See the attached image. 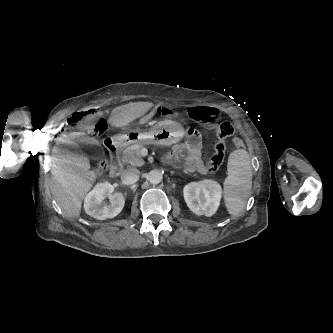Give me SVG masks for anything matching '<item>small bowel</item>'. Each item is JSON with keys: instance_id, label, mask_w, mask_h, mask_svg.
Masks as SVG:
<instances>
[{"instance_id": "c3829d8e", "label": "small bowel", "mask_w": 333, "mask_h": 333, "mask_svg": "<svg viewBox=\"0 0 333 333\" xmlns=\"http://www.w3.org/2000/svg\"><path fill=\"white\" fill-rule=\"evenodd\" d=\"M163 107L157 105L153 110H150L144 117L139 119L141 124L149 122L156 114L161 112ZM221 113L218 117H210L205 120L208 123H215L221 120ZM176 160L183 164L190 172L204 173L206 171L204 162L201 157V143L198 138L190 137L185 143L176 145L173 148Z\"/></svg>"}]
</instances>
